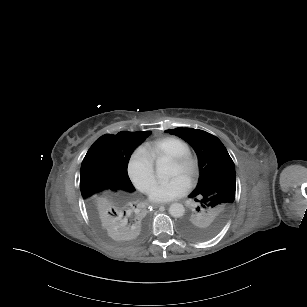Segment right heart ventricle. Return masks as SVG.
Wrapping results in <instances>:
<instances>
[{
    "instance_id": "right-heart-ventricle-1",
    "label": "right heart ventricle",
    "mask_w": 307,
    "mask_h": 307,
    "mask_svg": "<svg viewBox=\"0 0 307 307\" xmlns=\"http://www.w3.org/2000/svg\"><path fill=\"white\" fill-rule=\"evenodd\" d=\"M191 146V142L183 137L179 136H167L164 138L162 146L157 150L156 155L158 157H170L177 155Z\"/></svg>"
}]
</instances>
